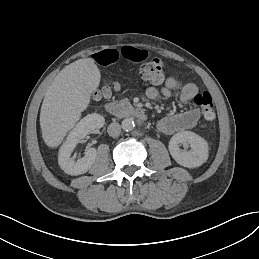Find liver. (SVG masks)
Instances as JSON below:
<instances>
[{
  "instance_id": "6515ba94",
  "label": "liver",
  "mask_w": 259,
  "mask_h": 259,
  "mask_svg": "<svg viewBox=\"0 0 259 259\" xmlns=\"http://www.w3.org/2000/svg\"><path fill=\"white\" fill-rule=\"evenodd\" d=\"M101 71L92 57L66 66L47 88L40 111L45 145L58 149L88 108L100 86Z\"/></svg>"
}]
</instances>
